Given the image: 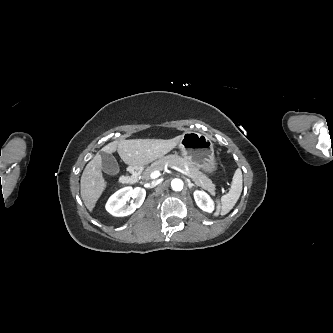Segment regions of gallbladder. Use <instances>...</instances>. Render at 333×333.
Returning a JSON list of instances; mask_svg holds the SVG:
<instances>
[{
    "label": "gallbladder",
    "mask_w": 333,
    "mask_h": 333,
    "mask_svg": "<svg viewBox=\"0 0 333 333\" xmlns=\"http://www.w3.org/2000/svg\"><path fill=\"white\" fill-rule=\"evenodd\" d=\"M102 160V170L108 175H116L120 172L119 164L116 158L107 152L101 151L99 153Z\"/></svg>",
    "instance_id": "gallbladder-1"
}]
</instances>
